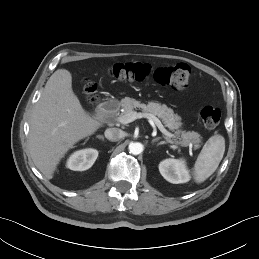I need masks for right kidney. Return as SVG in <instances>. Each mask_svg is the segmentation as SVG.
Instances as JSON below:
<instances>
[{
	"label": "right kidney",
	"mask_w": 259,
	"mask_h": 259,
	"mask_svg": "<svg viewBox=\"0 0 259 259\" xmlns=\"http://www.w3.org/2000/svg\"><path fill=\"white\" fill-rule=\"evenodd\" d=\"M97 157L98 151L95 149L79 150L69 157L67 167L74 171H84L94 164Z\"/></svg>",
	"instance_id": "1"
}]
</instances>
